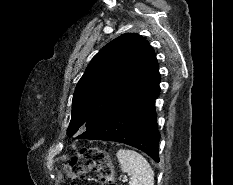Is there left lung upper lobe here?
Here are the masks:
<instances>
[{"instance_id": "5c2ea615", "label": "left lung upper lobe", "mask_w": 233, "mask_h": 185, "mask_svg": "<svg viewBox=\"0 0 233 185\" xmlns=\"http://www.w3.org/2000/svg\"><path fill=\"white\" fill-rule=\"evenodd\" d=\"M157 65L153 48L138 34H123L109 42L93 57L76 86L68 136L79 128L95 127L121 95Z\"/></svg>"}]
</instances>
